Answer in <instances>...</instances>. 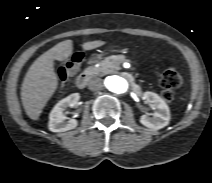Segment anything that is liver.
Instances as JSON below:
<instances>
[{
  "label": "liver",
  "instance_id": "liver-1",
  "mask_svg": "<svg viewBox=\"0 0 212 183\" xmlns=\"http://www.w3.org/2000/svg\"><path fill=\"white\" fill-rule=\"evenodd\" d=\"M104 44L103 41L85 42L84 50H92ZM73 51L72 40L62 41L39 56L27 71L21 87V100L26 114L37 120L49 99L58 87L54 71V60L65 61Z\"/></svg>",
  "mask_w": 212,
  "mask_h": 183
}]
</instances>
